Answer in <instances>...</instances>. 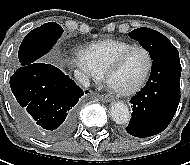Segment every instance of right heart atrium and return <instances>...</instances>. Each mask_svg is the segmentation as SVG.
I'll return each mask as SVG.
<instances>
[{"label": "right heart atrium", "instance_id": "1", "mask_svg": "<svg viewBox=\"0 0 190 165\" xmlns=\"http://www.w3.org/2000/svg\"><path fill=\"white\" fill-rule=\"evenodd\" d=\"M71 63L77 70L78 76L84 82L99 81L103 74L94 65L87 49L77 47L71 55Z\"/></svg>", "mask_w": 190, "mask_h": 165}]
</instances>
